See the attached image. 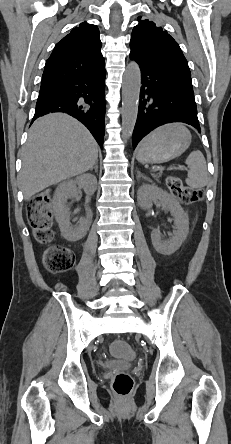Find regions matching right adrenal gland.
I'll list each match as a JSON object with an SVG mask.
<instances>
[{
  "mask_svg": "<svg viewBox=\"0 0 231 444\" xmlns=\"http://www.w3.org/2000/svg\"><path fill=\"white\" fill-rule=\"evenodd\" d=\"M93 169L95 170L96 173L98 172V163L97 162L95 163L94 167L91 168L90 170L92 171Z\"/></svg>",
  "mask_w": 231,
  "mask_h": 444,
  "instance_id": "obj_1",
  "label": "right adrenal gland"
}]
</instances>
